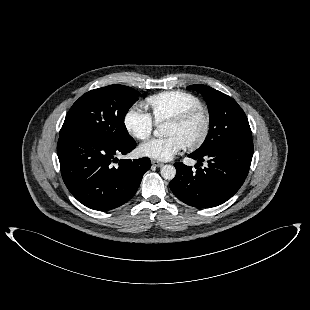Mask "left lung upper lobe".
I'll use <instances>...</instances> for the list:
<instances>
[{"mask_svg":"<svg viewBox=\"0 0 310 310\" xmlns=\"http://www.w3.org/2000/svg\"><path fill=\"white\" fill-rule=\"evenodd\" d=\"M188 88L202 94L210 115L208 135L195 153L203 154L223 145L252 140L248 119L233 98L206 85L195 84Z\"/></svg>","mask_w":310,"mask_h":310,"instance_id":"1","label":"left lung upper lobe"}]
</instances>
